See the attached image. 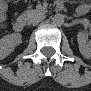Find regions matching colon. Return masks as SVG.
Listing matches in <instances>:
<instances>
[{
  "label": "colon",
  "instance_id": "obj_1",
  "mask_svg": "<svg viewBox=\"0 0 91 91\" xmlns=\"http://www.w3.org/2000/svg\"><path fill=\"white\" fill-rule=\"evenodd\" d=\"M7 10H8V3L6 1H2L0 3L1 16L2 15L4 16Z\"/></svg>",
  "mask_w": 91,
  "mask_h": 91
}]
</instances>
